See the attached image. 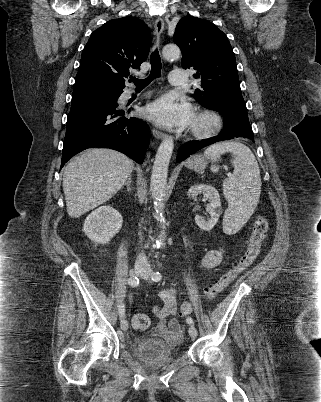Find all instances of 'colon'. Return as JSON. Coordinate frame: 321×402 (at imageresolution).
I'll list each match as a JSON object with an SVG mask.
<instances>
[{
    "instance_id": "colon-1",
    "label": "colon",
    "mask_w": 321,
    "mask_h": 402,
    "mask_svg": "<svg viewBox=\"0 0 321 402\" xmlns=\"http://www.w3.org/2000/svg\"><path fill=\"white\" fill-rule=\"evenodd\" d=\"M269 230L268 220L261 216L254 223L252 234L247 242L246 249L241 258L215 283L209 286L204 292L206 299L211 300L223 292L238 276L246 271L258 258L261 245L265 240ZM193 310V303L185 301L180 307L179 315L185 317ZM132 324L136 330H146L150 321L147 315L137 313L132 317Z\"/></svg>"
}]
</instances>
